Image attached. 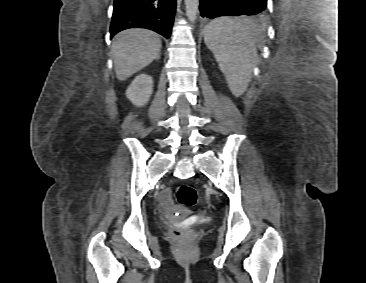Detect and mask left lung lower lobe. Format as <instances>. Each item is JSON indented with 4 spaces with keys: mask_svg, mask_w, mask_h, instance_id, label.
Returning a JSON list of instances; mask_svg holds the SVG:
<instances>
[{
    "mask_svg": "<svg viewBox=\"0 0 366 283\" xmlns=\"http://www.w3.org/2000/svg\"><path fill=\"white\" fill-rule=\"evenodd\" d=\"M267 0H200L203 18L220 16H257L266 12Z\"/></svg>",
    "mask_w": 366,
    "mask_h": 283,
    "instance_id": "0a47b994",
    "label": "left lung lower lobe"
}]
</instances>
